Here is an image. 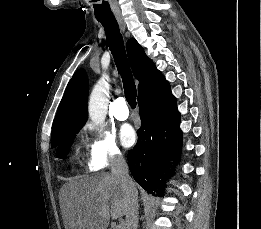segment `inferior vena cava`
<instances>
[{
  "label": "inferior vena cava",
  "instance_id": "602c4592",
  "mask_svg": "<svg viewBox=\"0 0 261 229\" xmlns=\"http://www.w3.org/2000/svg\"><path fill=\"white\" fill-rule=\"evenodd\" d=\"M110 167L112 177L118 179L120 185H122L124 191H126V195L129 197L125 229H138L139 211L137 189L131 177H129L128 165L122 155H119V157L112 159Z\"/></svg>",
  "mask_w": 261,
  "mask_h": 229
}]
</instances>
